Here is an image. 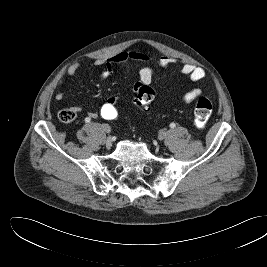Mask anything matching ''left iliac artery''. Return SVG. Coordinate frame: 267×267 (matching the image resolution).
<instances>
[{
  "instance_id": "1",
  "label": "left iliac artery",
  "mask_w": 267,
  "mask_h": 267,
  "mask_svg": "<svg viewBox=\"0 0 267 267\" xmlns=\"http://www.w3.org/2000/svg\"><path fill=\"white\" fill-rule=\"evenodd\" d=\"M175 126H176V125H175L174 123H171V124H170V127H171V128H174Z\"/></svg>"
}]
</instances>
